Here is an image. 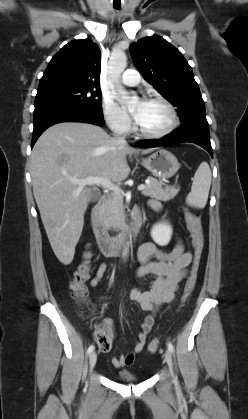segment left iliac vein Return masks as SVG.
<instances>
[{
  "instance_id": "obj_1",
  "label": "left iliac vein",
  "mask_w": 248,
  "mask_h": 419,
  "mask_svg": "<svg viewBox=\"0 0 248 419\" xmlns=\"http://www.w3.org/2000/svg\"><path fill=\"white\" fill-rule=\"evenodd\" d=\"M164 357H165V361H166V363H167V365H168V367H169V370H170V372H171V374H172V376L174 377V372H173V363H172V356H171V353H170V351H166L165 352V354H164Z\"/></svg>"
}]
</instances>
